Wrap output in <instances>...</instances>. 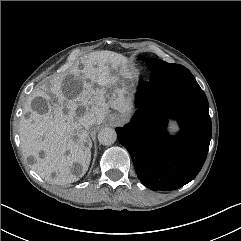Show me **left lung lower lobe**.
I'll use <instances>...</instances> for the list:
<instances>
[{"label": "left lung lower lobe", "mask_w": 241, "mask_h": 241, "mask_svg": "<svg viewBox=\"0 0 241 241\" xmlns=\"http://www.w3.org/2000/svg\"><path fill=\"white\" fill-rule=\"evenodd\" d=\"M151 72L149 81H139V110L116 132L140 181L152 190L171 191L193 180L205 162L212 134L208 101L198 84L173 94L165 76ZM169 118L181 127L176 136L166 131Z\"/></svg>", "instance_id": "1"}]
</instances>
